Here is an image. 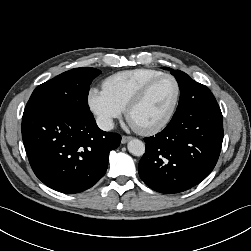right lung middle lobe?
I'll list each match as a JSON object with an SVG mask.
<instances>
[{
    "instance_id": "right-lung-middle-lobe-1",
    "label": "right lung middle lobe",
    "mask_w": 251,
    "mask_h": 251,
    "mask_svg": "<svg viewBox=\"0 0 251 251\" xmlns=\"http://www.w3.org/2000/svg\"><path fill=\"white\" fill-rule=\"evenodd\" d=\"M101 73L91 67L75 68L39 85L29 102H39L69 110L78 114L90 113L88 106L89 86Z\"/></svg>"
}]
</instances>
